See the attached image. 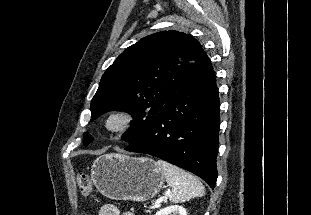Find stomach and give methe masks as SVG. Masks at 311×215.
I'll return each instance as SVG.
<instances>
[{
	"label": "stomach",
	"instance_id": "1",
	"mask_svg": "<svg viewBox=\"0 0 311 215\" xmlns=\"http://www.w3.org/2000/svg\"><path fill=\"white\" fill-rule=\"evenodd\" d=\"M91 175L97 189L115 200L145 202L158 194L164 184L154 160L117 153L98 157Z\"/></svg>",
	"mask_w": 311,
	"mask_h": 215
}]
</instances>
